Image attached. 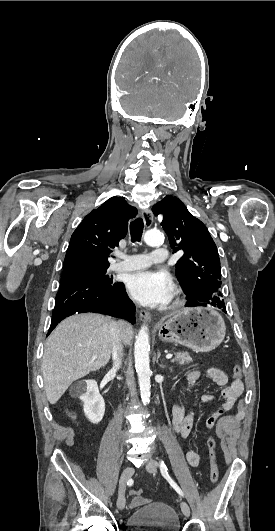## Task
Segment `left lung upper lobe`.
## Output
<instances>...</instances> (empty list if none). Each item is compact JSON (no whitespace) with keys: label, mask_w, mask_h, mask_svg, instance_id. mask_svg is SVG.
Here are the masks:
<instances>
[{"label":"left lung upper lobe","mask_w":275,"mask_h":531,"mask_svg":"<svg viewBox=\"0 0 275 531\" xmlns=\"http://www.w3.org/2000/svg\"><path fill=\"white\" fill-rule=\"evenodd\" d=\"M152 211L163 215L161 225L173 251L184 253L176 263V276L187 295L186 306L211 305L226 312L219 254L206 226L174 196L163 198Z\"/></svg>","instance_id":"1"}]
</instances>
